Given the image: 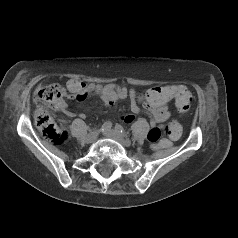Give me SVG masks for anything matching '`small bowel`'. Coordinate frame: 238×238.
Instances as JSON below:
<instances>
[{
	"label": "small bowel",
	"instance_id": "c3829d8e",
	"mask_svg": "<svg viewBox=\"0 0 238 238\" xmlns=\"http://www.w3.org/2000/svg\"><path fill=\"white\" fill-rule=\"evenodd\" d=\"M174 88L175 86L154 87L144 94H139L134 88H128L124 85L107 84L102 86L98 83L85 84L75 79H71L67 83L68 97L77 102H82L92 95H99L105 106L111 107L117 100L128 97L131 103V111L134 114L140 113L142 105L144 112L150 117L152 127H159L158 124L164 123L169 119L170 112L167 103L172 99V96L167 97L165 92ZM56 110L63 112L68 117L75 116L73 112L68 110L65 101L57 106ZM81 117H84V115H81ZM134 118L132 114L122 116V120L125 123L133 122Z\"/></svg>",
	"mask_w": 238,
	"mask_h": 238
}]
</instances>
